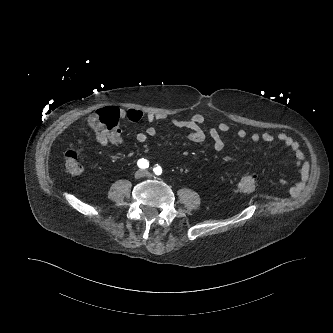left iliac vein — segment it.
Wrapping results in <instances>:
<instances>
[{"label": "left iliac vein", "mask_w": 333, "mask_h": 333, "mask_svg": "<svg viewBox=\"0 0 333 333\" xmlns=\"http://www.w3.org/2000/svg\"><path fill=\"white\" fill-rule=\"evenodd\" d=\"M144 176L149 178L153 177L152 173H150L148 170H144Z\"/></svg>", "instance_id": "4c4485c4"}]
</instances>
